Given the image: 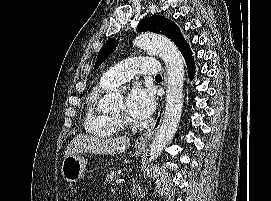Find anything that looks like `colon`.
<instances>
[{
    "mask_svg": "<svg viewBox=\"0 0 271 201\" xmlns=\"http://www.w3.org/2000/svg\"><path fill=\"white\" fill-rule=\"evenodd\" d=\"M74 201H80L78 198H76Z\"/></svg>",
    "mask_w": 271,
    "mask_h": 201,
    "instance_id": "colon-1",
    "label": "colon"
}]
</instances>
